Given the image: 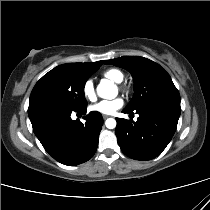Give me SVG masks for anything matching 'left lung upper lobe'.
Here are the masks:
<instances>
[{"mask_svg": "<svg viewBox=\"0 0 210 210\" xmlns=\"http://www.w3.org/2000/svg\"><path fill=\"white\" fill-rule=\"evenodd\" d=\"M127 69L134 79V96L126 109L136 110L156 102L178 103L180 95L169 74L157 63L139 56H123L107 60Z\"/></svg>", "mask_w": 210, "mask_h": 210, "instance_id": "left-lung-upper-lobe-1", "label": "left lung upper lobe"}]
</instances>
